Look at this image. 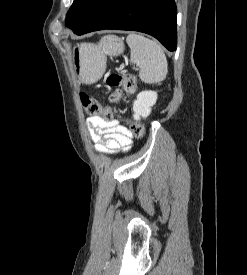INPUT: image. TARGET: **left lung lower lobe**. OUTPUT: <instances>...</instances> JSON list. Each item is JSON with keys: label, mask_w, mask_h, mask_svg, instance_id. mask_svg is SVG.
Segmentation results:
<instances>
[{"label": "left lung lower lobe", "mask_w": 247, "mask_h": 275, "mask_svg": "<svg viewBox=\"0 0 247 275\" xmlns=\"http://www.w3.org/2000/svg\"><path fill=\"white\" fill-rule=\"evenodd\" d=\"M174 0H102L77 35L102 29L134 30L152 35L169 51L177 45Z\"/></svg>", "instance_id": "0a47b994"}]
</instances>
